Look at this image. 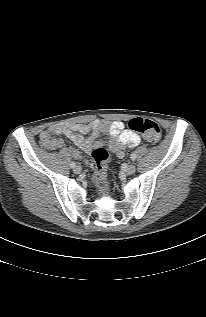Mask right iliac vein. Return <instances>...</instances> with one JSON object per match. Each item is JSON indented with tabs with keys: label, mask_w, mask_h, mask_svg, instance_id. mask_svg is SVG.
<instances>
[{
	"label": "right iliac vein",
	"mask_w": 206,
	"mask_h": 317,
	"mask_svg": "<svg viewBox=\"0 0 206 317\" xmlns=\"http://www.w3.org/2000/svg\"><path fill=\"white\" fill-rule=\"evenodd\" d=\"M74 172H75L76 174H80V173H81V167H80V166H76V167L74 168Z\"/></svg>",
	"instance_id": "obj_1"
}]
</instances>
